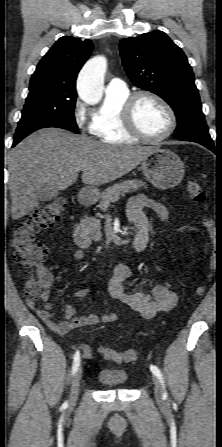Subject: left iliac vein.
Returning <instances> with one entry per match:
<instances>
[{
  "mask_svg": "<svg viewBox=\"0 0 222 447\" xmlns=\"http://www.w3.org/2000/svg\"><path fill=\"white\" fill-rule=\"evenodd\" d=\"M153 385H154V394L157 401H162L163 399V391L159 380L156 377H153Z\"/></svg>",
  "mask_w": 222,
  "mask_h": 447,
  "instance_id": "obj_1",
  "label": "left iliac vein"
}]
</instances>
